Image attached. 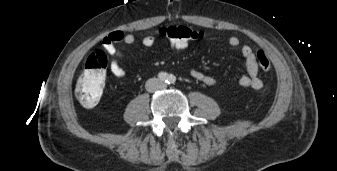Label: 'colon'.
<instances>
[{
    "mask_svg": "<svg viewBox=\"0 0 337 171\" xmlns=\"http://www.w3.org/2000/svg\"><path fill=\"white\" fill-rule=\"evenodd\" d=\"M158 32L168 38V45L173 50H180L201 36L199 31L185 26L163 27ZM256 56L261 71L268 72L271 64L266 54L258 51ZM106 67L107 57L100 50L93 51L87 58L75 87L76 96L82 106L93 107L99 102L105 86Z\"/></svg>",
    "mask_w": 337,
    "mask_h": 171,
    "instance_id": "colon-1",
    "label": "colon"
}]
</instances>
